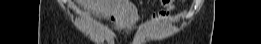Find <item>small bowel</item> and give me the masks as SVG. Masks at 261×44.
I'll return each instance as SVG.
<instances>
[{
    "label": "small bowel",
    "instance_id": "obj_1",
    "mask_svg": "<svg viewBox=\"0 0 261 44\" xmlns=\"http://www.w3.org/2000/svg\"><path fill=\"white\" fill-rule=\"evenodd\" d=\"M171 9H172L171 6L166 7L165 11L162 12V15H161V16H162V17L168 16L169 11H170ZM158 18H159V16H158Z\"/></svg>",
    "mask_w": 261,
    "mask_h": 44
}]
</instances>
